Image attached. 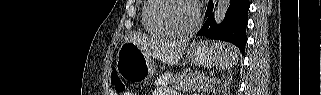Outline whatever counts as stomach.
<instances>
[{
	"instance_id": "1",
	"label": "stomach",
	"mask_w": 321,
	"mask_h": 95,
	"mask_svg": "<svg viewBox=\"0 0 321 95\" xmlns=\"http://www.w3.org/2000/svg\"><path fill=\"white\" fill-rule=\"evenodd\" d=\"M223 51L220 43L208 45L204 42L193 43L187 49L190 60L199 66H213ZM116 70L125 80L144 82L156 70L153 57L132 42H124L118 50Z\"/></svg>"
}]
</instances>
